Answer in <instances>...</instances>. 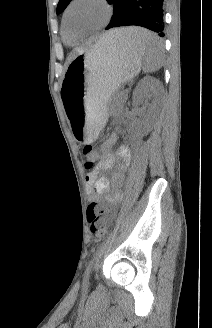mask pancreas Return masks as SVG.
<instances>
[{
	"instance_id": "obj_1",
	"label": "pancreas",
	"mask_w": 212,
	"mask_h": 328,
	"mask_svg": "<svg viewBox=\"0 0 212 328\" xmlns=\"http://www.w3.org/2000/svg\"><path fill=\"white\" fill-rule=\"evenodd\" d=\"M125 96H124V94L122 93V94H120V96H118L117 98H116V100L114 101V106L115 107H120V106H122V104L124 103V101H125Z\"/></svg>"
}]
</instances>
